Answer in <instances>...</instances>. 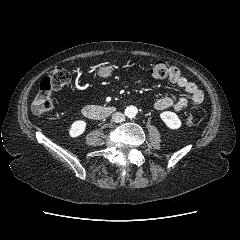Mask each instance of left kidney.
<instances>
[{"mask_svg": "<svg viewBox=\"0 0 240 240\" xmlns=\"http://www.w3.org/2000/svg\"><path fill=\"white\" fill-rule=\"evenodd\" d=\"M160 118L170 129H178L181 126V121L178 118L177 114L170 111H165L160 114Z\"/></svg>", "mask_w": 240, "mask_h": 240, "instance_id": "1", "label": "left kidney"}]
</instances>
